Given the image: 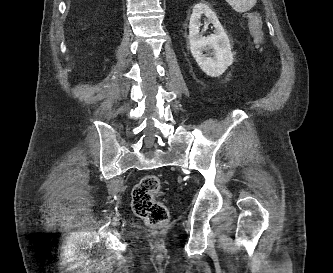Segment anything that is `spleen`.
<instances>
[{
    "label": "spleen",
    "mask_w": 333,
    "mask_h": 273,
    "mask_svg": "<svg viewBox=\"0 0 333 273\" xmlns=\"http://www.w3.org/2000/svg\"><path fill=\"white\" fill-rule=\"evenodd\" d=\"M231 7L237 12H246L252 9L257 0H226Z\"/></svg>",
    "instance_id": "3e777b00"
}]
</instances>
